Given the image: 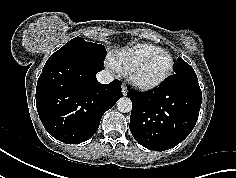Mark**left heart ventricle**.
<instances>
[{
  "label": "left heart ventricle",
  "mask_w": 236,
  "mask_h": 178,
  "mask_svg": "<svg viewBox=\"0 0 236 178\" xmlns=\"http://www.w3.org/2000/svg\"><path fill=\"white\" fill-rule=\"evenodd\" d=\"M169 64L170 59L167 55L157 56L142 66L138 76L145 81H155L167 71Z\"/></svg>",
  "instance_id": "obj_1"
}]
</instances>
